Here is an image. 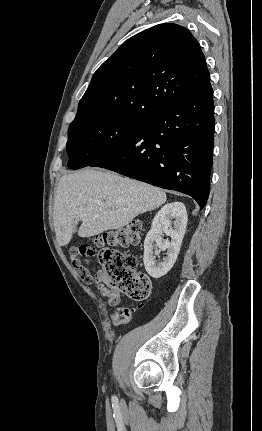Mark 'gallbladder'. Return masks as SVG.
<instances>
[{
  "label": "gallbladder",
  "mask_w": 262,
  "mask_h": 431,
  "mask_svg": "<svg viewBox=\"0 0 262 431\" xmlns=\"http://www.w3.org/2000/svg\"><path fill=\"white\" fill-rule=\"evenodd\" d=\"M78 221H79V219H75V220H74L73 233H75V232H76V226H77V224H78Z\"/></svg>",
  "instance_id": "gallbladder-1"
}]
</instances>
